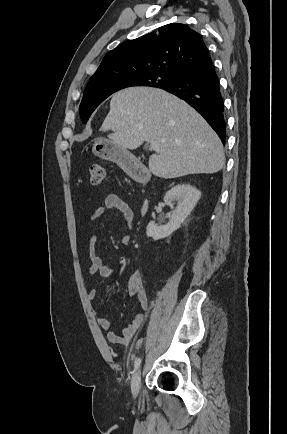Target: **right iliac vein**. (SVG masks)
Listing matches in <instances>:
<instances>
[{"label":"right iliac vein","mask_w":287,"mask_h":434,"mask_svg":"<svg viewBox=\"0 0 287 434\" xmlns=\"http://www.w3.org/2000/svg\"><path fill=\"white\" fill-rule=\"evenodd\" d=\"M140 381H141V372H140V370H137L134 373V375L132 377V382H131V391H132V394L134 396H136L139 392Z\"/></svg>","instance_id":"obj_1"}]
</instances>
